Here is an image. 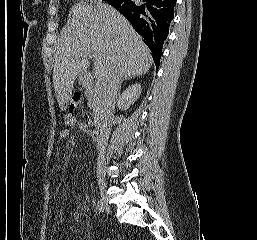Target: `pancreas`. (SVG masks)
Returning <instances> with one entry per match:
<instances>
[{"instance_id": "1", "label": "pancreas", "mask_w": 257, "mask_h": 240, "mask_svg": "<svg viewBox=\"0 0 257 240\" xmlns=\"http://www.w3.org/2000/svg\"><path fill=\"white\" fill-rule=\"evenodd\" d=\"M85 97L88 99L89 107L100 111L103 107V94L100 90L94 89L90 85H86Z\"/></svg>"}]
</instances>
